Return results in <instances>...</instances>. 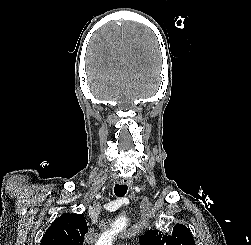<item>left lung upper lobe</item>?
Returning <instances> with one entry per match:
<instances>
[{"label":"left lung upper lobe","mask_w":251,"mask_h":245,"mask_svg":"<svg viewBox=\"0 0 251 245\" xmlns=\"http://www.w3.org/2000/svg\"><path fill=\"white\" fill-rule=\"evenodd\" d=\"M139 242L140 245H196L190 230L182 224H176L170 235L148 230L139 237Z\"/></svg>","instance_id":"left-lung-upper-lobe-1"}]
</instances>
